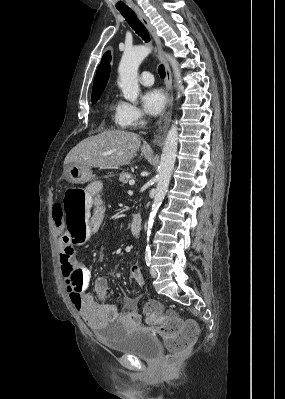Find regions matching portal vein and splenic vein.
I'll use <instances>...</instances> for the list:
<instances>
[{
	"instance_id": "obj_1",
	"label": "portal vein and splenic vein",
	"mask_w": 285,
	"mask_h": 399,
	"mask_svg": "<svg viewBox=\"0 0 285 399\" xmlns=\"http://www.w3.org/2000/svg\"><path fill=\"white\" fill-rule=\"evenodd\" d=\"M134 184H135V181L133 179L129 181V185H134Z\"/></svg>"
}]
</instances>
